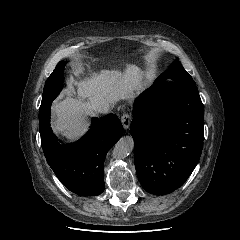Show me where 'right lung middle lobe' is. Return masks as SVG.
<instances>
[{
    "instance_id": "obj_1",
    "label": "right lung middle lobe",
    "mask_w": 240,
    "mask_h": 240,
    "mask_svg": "<svg viewBox=\"0 0 240 240\" xmlns=\"http://www.w3.org/2000/svg\"><path fill=\"white\" fill-rule=\"evenodd\" d=\"M65 67V62L60 61L55 67L52 74L46 81L44 86L42 102L39 109V117L45 114L51 107L52 101L58 96L59 92L63 87V69Z\"/></svg>"
}]
</instances>
